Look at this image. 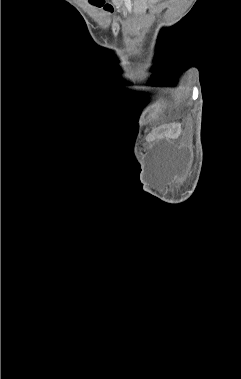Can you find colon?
I'll list each match as a JSON object with an SVG mask.
<instances>
[{"instance_id":"obj_1","label":"colon","mask_w":241,"mask_h":379,"mask_svg":"<svg viewBox=\"0 0 241 379\" xmlns=\"http://www.w3.org/2000/svg\"><path fill=\"white\" fill-rule=\"evenodd\" d=\"M90 3L97 7H104L106 10H111V7L105 4V0H90Z\"/></svg>"}]
</instances>
